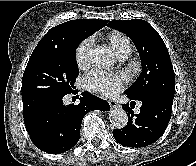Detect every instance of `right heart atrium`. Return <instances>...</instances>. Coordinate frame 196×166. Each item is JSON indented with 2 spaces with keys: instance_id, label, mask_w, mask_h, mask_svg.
<instances>
[{
  "instance_id": "obj_1",
  "label": "right heart atrium",
  "mask_w": 196,
  "mask_h": 166,
  "mask_svg": "<svg viewBox=\"0 0 196 166\" xmlns=\"http://www.w3.org/2000/svg\"><path fill=\"white\" fill-rule=\"evenodd\" d=\"M92 43V39L87 38L83 40L76 48L75 59L80 68L86 67L89 64Z\"/></svg>"
}]
</instances>
